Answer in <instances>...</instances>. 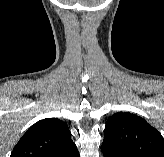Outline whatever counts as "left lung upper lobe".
Returning <instances> with one entry per match:
<instances>
[{"mask_svg":"<svg viewBox=\"0 0 164 157\" xmlns=\"http://www.w3.org/2000/svg\"><path fill=\"white\" fill-rule=\"evenodd\" d=\"M124 157H164L161 134L143 118L129 112L111 116L104 130V141Z\"/></svg>","mask_w":164,"mask_h":157,"instance_id":"left-lung-upper-lobe-1","label":"left lung upper lobe"}]
</instances>
